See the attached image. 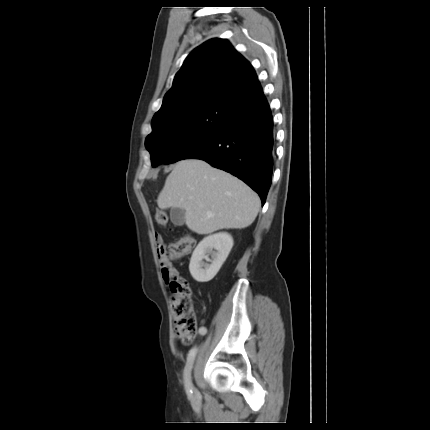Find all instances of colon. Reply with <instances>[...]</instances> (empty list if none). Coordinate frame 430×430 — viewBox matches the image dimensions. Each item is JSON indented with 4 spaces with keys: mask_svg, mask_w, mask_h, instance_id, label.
Masks as SVG:
<instances>
[{
    "mask_svg": "<svg viewBox=\"0 0 430 430\" xmlns=\"http://www.w3.org/2000/svg\"><path fill=\"white\" fill-rule=\"evenodd\" d=\"M155 219L161 226L168 223L167 214L163 211H157ZM193 246L194 240L189 236H184L168 246L164 244L157 246V253L163 251L171 260L188 254ZM169 286L175 332L183 343H191L197 334V317L192 302L191 289L186 279L180 276H174Z\"/></svg>",
    "mask_w": 430,
    "mask_h": 430,
    "instance_id": "5ec220e1",
    "label": "colon"
}]
</instances>
